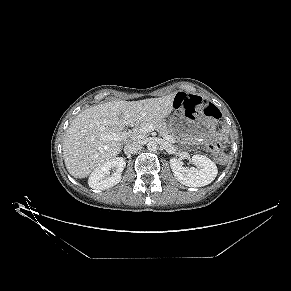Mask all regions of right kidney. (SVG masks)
I'll use <instances>...</instances> for the list:
<instances>
[{
    "label": "right kidney",
    "instance_id": "right-kidney-1",
    "mask_svg": "<svg viewBox=\"0 0 291 291\" xmlns=\"http://www.w3.org/2000/svg\"><path fill=\"white\" fill-rule=\"evenodd\" d=\"M126 162L124 158L117 157L96 167L89 177V186L97 190H105L118 184L121 180V172ZM111 169L116 171L110 175Z\"/></svg>",
    "mask_w": 291,
    "mask_h": 291
}]
</instances>
